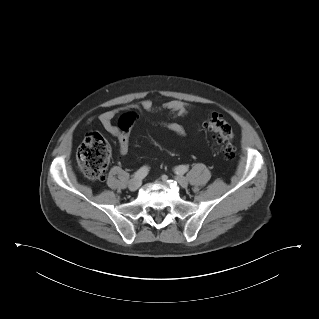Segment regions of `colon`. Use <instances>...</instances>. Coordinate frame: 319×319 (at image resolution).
<instances>
[{"label":"colon","mask_w":319,"mask_h":319,"mask_svg":"<svg viewBox=\"0 0 319 319\" xmlns=\"http://www.w3.org/2000/svg\"><path fill=\"white\" fill-rule=\"evenodd\" d=\"M136 121L132 112L123 114L117 121V129L124 143L129 140V132ZM205 129L212 133L227 160L234 157L232 144L233 130L230 123L220 114L214 113L205 122ZM110 147L107 140L99 133H89L77 151V165L84 176L91 182H100L105 177L109 163Z\"/></svg>","instance_id":"obj_1"}]
</instances>
